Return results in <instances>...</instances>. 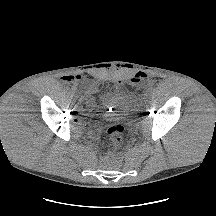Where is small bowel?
<instances>
[{
    "label": "small bowel",
    "mask_w": 216,
    "mask_h": 216,
    "mask_svg": "<svg viewBox=\"0 0 216 216\" xmlns=\"http://www.w3.org/2000/svg\"><path fill=\"white\" fill-rule=\"evenodd\" d=\"M146 75L143 73H139L133 77L134 82H140L141 80L145 79ZM64 81L70 83V82H76L82 80V76L77 74V75H72V76H66L63 78ZM120 82V81H119ZM89 90H93L95 88L94 84H89L88 85Z\"/></svg>",
    "instance_id": "small-bowel-1"
}]
</instances>
